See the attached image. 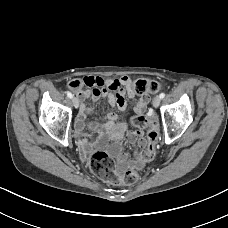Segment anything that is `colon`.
Segmentation results:
<instances>
[{
    "label": "colon",
    "instance_id": "colon-1",
    "mask_svg": "<svg viewBox=\"0 0 228 228\" xmlns=\"http://www.w3.org/2000/svg\"><path fill=\"white\" fill-rule=\"evenodd\" d=\"M69 87L75 91L82 88L80 80L69 83ZM134 88L138 95L156 93L160 85L149 79H138L134 82ZM132 124L139 128H147L146 144L144 150L136 155L138 161L148 162L152 160L156 153V146L159 140V130L157 123L145 115H135ZM90 168L102 180L117 185H133L139 179V173L135 169H130L123 174L116 171L113 159L104 151L95 150L90 156Z\"/></svg>",
    "mask_w": 228,
    "mask_h": 228
}]
</instances>
